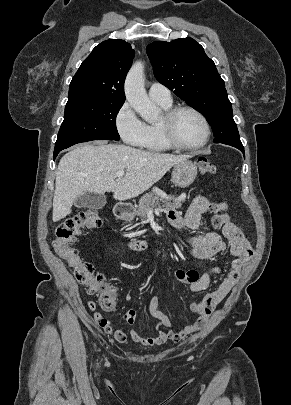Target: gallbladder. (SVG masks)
<instances>
[{
	"label": "gallbladder",
	"instance_id": "obj_1",
	"mask_svg": "<svg viewBox=\"0 0 291 405\" xmlns=\"http://www.w3.org/2000/svg\"><path fill=\"white\" fill-rule=\"evenodd\" d=\"M105 204L106 197L93 192H85L74 201L77 208L101 209Z\"/></svg>",
	"mask_w": 291,
	"mask_h": 405
}]
</instances>
